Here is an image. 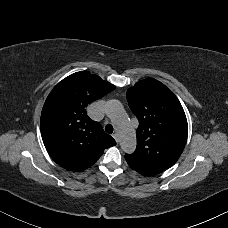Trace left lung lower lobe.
Wrapping results in <instances>:
<instances>
[{
    "label": "left lung lower lobe",
    "instance_id": "0a47b994",
    "mask_svg": "<svg viewBox=\"0 0 228 228\" xmlns=\"http://www.w3.org/2000/svg\"><path fill=\"white\" fill-rule=\"evenodd\" d=\"M125 159L129 166L135 171L139 172L144 176H152L161 173L164 169L140 162L131 158L129 155H125Z\"/></svg>",
    "mask_w": 228,
    "mask_h": 228
}]
</instances>
